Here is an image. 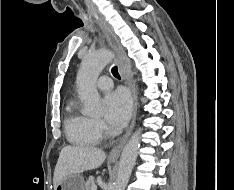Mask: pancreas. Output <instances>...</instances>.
I'll list each match as a JSON object with an SVG mask.
<instances>
[{"instance_id":"pancreas-1","label":"pancreas","mask_w":234,"mask_h":190,"mask_svg":"<svg viewBox=\"0 0 234 190\" xmlns=\"http://www.w3.org/2000/svg\"><path fill=\"white\" fill-rule=\"evenodd\" d=\"M95 185L94 184V177L92 175L89 176L88 180L85 183V190H91V187Z\"/></svg>"}]
</instances>
